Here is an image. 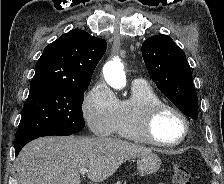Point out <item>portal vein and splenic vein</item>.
<instances>
[{
  "label": "portal vein and splenic vein",
  "mask_w": 224,
  "mask_h": 184,
  "mask_svg": "<svg viewBox=\"0 0 224 184\" xmlns=\"http://www.w3.org/2000/svg\"><path fill=\"white\" fill-rule=\"evenodd\" d=\"M87 172H88L87 168H83L80 170L81 175H84Z\"/></svg>",
  "instance_id": "portal-vein-and-splenic-vein-1"
}]
</instances>
